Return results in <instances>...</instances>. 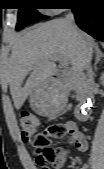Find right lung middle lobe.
<instances>
[{
	"mask_svg": "<svg viewBox=\"0 0 104 169\" xmlns=\"http://www.w3.org/2000/svg\"><path fill=\"white\" fill-rule=\"evenodd\" d=\"M19 4L18 20L16 30H20L25 26L43 19L48 18V16H43L36 9L37 3L36 0H16ZM67 3H73L77 0H66Z\"/></svg>",
	"mask_w": 104,
	"mask_h": 169,
	"instance_id": "1",
	"label": "right lung middle lobe"
}]
</instances>
